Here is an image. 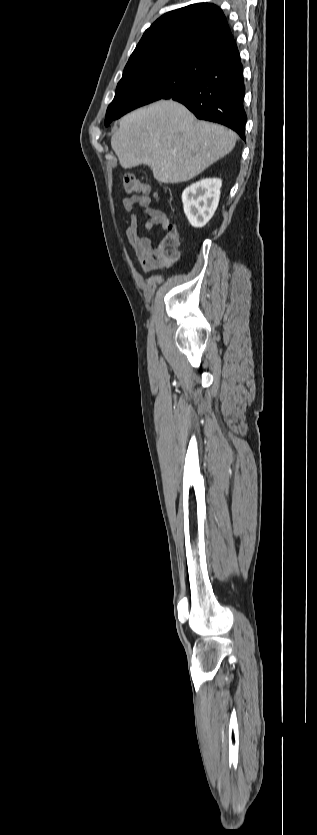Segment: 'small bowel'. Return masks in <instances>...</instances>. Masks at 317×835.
<instances>
[{
  "label": "small bowel",
  "mask_w": 317,
  "mask_h": 835,
  "mask_svg": "<svg viewBox=\"0 0 317 835\" xmlns=\"http://www.w3.org/2000/svg\"><path fill=\"white\" fill-rule=\"evenodd\" d=\"M152 199L148 195H133L123 201L124 209L131 213L129 222L126 228V238L132 247L139 265L146 272L159 271L170 268L173 264L172 259H168L161 254L158 248L152 246L151 239L142 235L139 232V221L135 213V207L143 210L147 219L144 222V229L146 231L153 230L156 226H162L164 229L170 223L169 218L159 208L151 206Z\"/></svg>",
  "instance_id": "obj_1"
}]
</instances>
